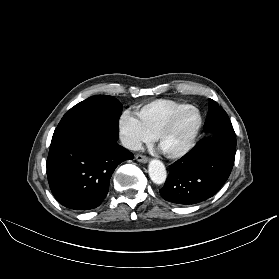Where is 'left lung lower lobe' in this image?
<instances>
[{
    "instance_id": "obj_1",
    "label": "left lung lower lobe",
    "mask_w": 279,
    "mask_h": 279,
    "mask_svg": "<svg viewBox=\"0 0 279 279\" xmlns=\"http://www.w3.org/2000/svg\"><path fill=\"white\" fill-rule=\"evenodd\" d=\"M227 131L225 134H229ZM236 153V138L215 135L202 139L170 166L160 194L166 201L190 205L215 195L228 179Z\"/></svg>"
}]
</instances>
